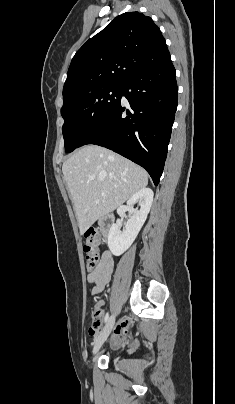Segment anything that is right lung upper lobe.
<instances>
[{
    "label": "right lung upper lobe",
    "instance_id": "obj_1",
    "mask_svg": "<svg viewBox=\"0 0 235 404\" xmlns=\"http://www.w3.org/2000/svg\"><path fill=\"white\" fill-rule=\"evenodd\" d=\"M168 56L165 39L150 17L123 13L76 52L63 88L64 104L97 89L122 85Z\"/></svg>",
    "mask_w": 235,
    "mask_h": 404
}]
</instances>
